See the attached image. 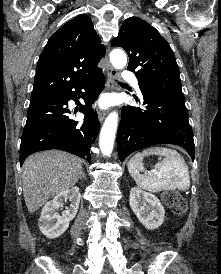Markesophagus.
I'll list each match as a JSON object with an SVG mask.
<instances>
[{"label":"esophagus","mask_w":221,"mask_h":274,"mask_svg":"<svg viewBox=\"0 0 221 274\" xmlns=\"http://www.w3.org/2000/svg\"><path fill=\"white\" fill-rule=\"evenodd\" d=\"M117 77V71L108 63V68H107V88L112 89L115 86V79ZM106 112L105 111H100L98 113V118L99 121L102 122L105 117H106Z\"/></svg>","instance_id":"1"}]
</instances>
